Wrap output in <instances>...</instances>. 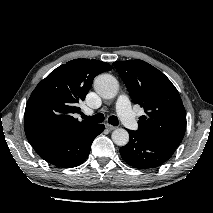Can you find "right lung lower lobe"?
<instances>
[{
  "label": "right lung lower lobe",
  "instance_id": "1",
  "mask_svg": "<svg viewBox=\"0 0 213 213\" xmlns=\"http://www.w3.org/2000/svg\"><path fill=\"white\" fill-rule=\"evenodd\" d=\"M103 124H93L63 140L30 141L34 150L47 162L63 168L80 165L88 157L91 144L104 130Z\"/></svg>",
  "mask_w": 213,
  "mask_h": 213
}]
</instances>
